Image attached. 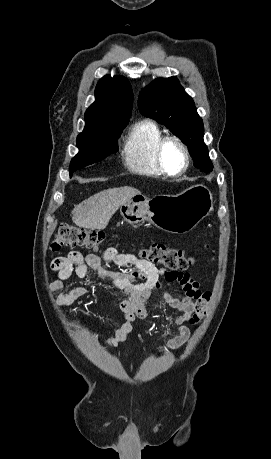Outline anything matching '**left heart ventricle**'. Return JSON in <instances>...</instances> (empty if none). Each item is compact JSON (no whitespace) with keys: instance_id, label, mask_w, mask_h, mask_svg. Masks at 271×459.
<instances>
[{"instance_id":"b2bd125f","label":"left heart ventricle","mask_w":271,"mask_h":459,"mask_svg":"<svg viewBox=\"0 0 271 459\" xmlns=\"http://www.w3.org/2000/svg\"><path fill=\"white\" fill-rule=\"evenodd\" d=\"M163 155L167 167L172 172H179L185 168L186 155L177 141H168L164 146Z\"/></svg>"}]
</instances>
